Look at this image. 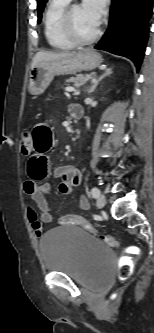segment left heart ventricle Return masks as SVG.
<instances>
[{"label":"left heart ventricle","instance_id":"b2bd125f","mask_svg":"<svg viewBox=\"0 0 154 333\" xmlns=\"http://www.w3.org/2000/svg\"><path fill=\"white\" fill-rule=\"evenodd\" d=\"M72 24L75 32L82 38L92 36L98 28V25L85 14L80 5L72 10Z\"/></svg>","mask_w":154,"mask_h":333}]
</instances>
